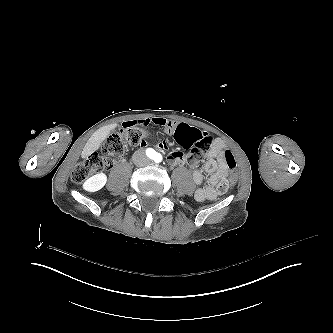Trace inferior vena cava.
Wrapping results in <instances>:
<instances>
[{
    "label": "inferior vena cava",
    "instance_id": "1",
    "mask_svg": "<svg viewBox=\"0 0 333 333\" xmlns=\"http://www.w3.org/2000/svg\"><path fill=\"white\" fill-rule=\"evenodd\" d=\"M132 160L136 166H147L150 163V159L146 156L143 150H137L132 156Z\"/></svg>",
    "mask_w": 333,
    "mask_h": 333
}]
</instances>
